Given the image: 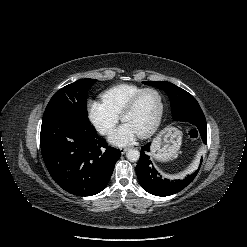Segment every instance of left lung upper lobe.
Masks as SVG:
<instances>
[{
    "label": "left lung upper lobe",
    "mask_w": 247,
    "mask_h": 247,
    "mask_svg": "<svg viewBox=\"0 0 247 247\" xmlns=\"http://www.w3.org/2000/svg\"><path fill=\"white\" fill-rule=\"evenodd\" d=\"M143 83L162 89L167 93L171 101L174 120L186 122L193 127L200 122L206 121L197 100L187 91L165 81H145Z\"/></svg>",
    "instance_id": "5c2ea615"
}]
</instances>
